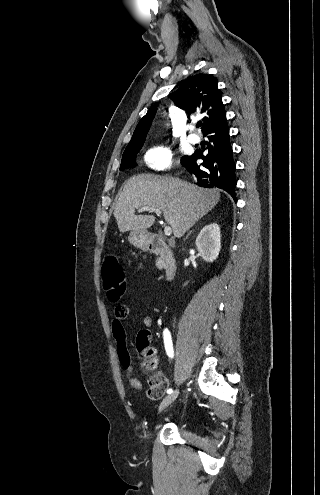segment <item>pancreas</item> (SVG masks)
<instances>
[{
    "mask_svg": "<svg viewBox=\"0 0 320 495\" xmlns=\"http://www.w3.org/2000/svg\"><path fill=\"white\" fill-rule=\"evenodd\" d=\"M156 265L158 267H162L163 266V261L161 259H158Z\"/></svg>",
    "mask_w": 320,
    "mask_h": 495,
    "instance_id": "obj_1",
    "label": "pancreas"
}]
</instances>
